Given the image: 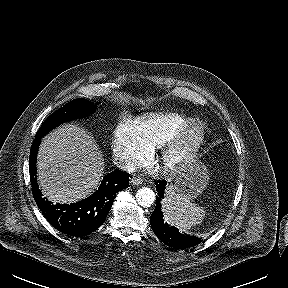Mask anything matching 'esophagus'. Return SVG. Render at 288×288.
I'll return each instance as SVG.
<instances>
[{
  "label": "esophagus",
  "mask_w": 288,
  "mask_h": 288,
  "mask_svg": "<svg viewBox=\"0 0 288 288\" xmlns=\"http://www.w3.org/2000/svg\"><path fill=\"white\" fill-rule=\"evenodd\" d=\"M142 182H143V180L140 179V178H137V177H132V178L130 179V184H131V185H134V186H139V185L142 184Z\"/></svg>",
  "instance_id": "obj_1"
}]
</instances>
